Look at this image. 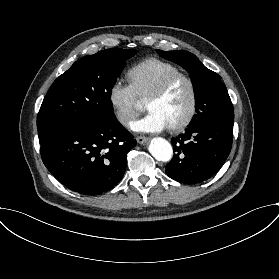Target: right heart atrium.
<instances>
[{"label": "right heart atrium", "instance_id": "right-heart-atrium-1", "mask_svg": "<svg viewBox=\"0 0 279 279\" xmlns=\"http://www.w3.org/2000/svg\"><path fill=\"white\" fill-rule=\"evenodd\" d=\"M107 100L116 122L121 126H128L138 114V98L129 84L115 81L108 90Z\"/></svg>", "mask_w": 279, "mask_h": 279}]
</instances>
